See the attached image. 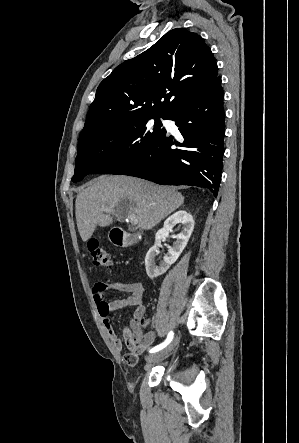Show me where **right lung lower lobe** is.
<instances>
[{"instance_id": "98d812e1", "label": "right lung lower lobe", "mask_w": 299, "mask_h": 443, "mask_svg": "<svg viewBox=\"0 0 299 443\" xmlns=\"http://www.w3.org/2000/svg\"><path fill=\"white\" fill-rule=\"evenodd\" d=\"M223 97L218 76L203 91L164 116V119L175 121L182 138L167 136L165 131L141 158L113 174L163 185L205 187L216 197L224 152Z\"/></svg>"}]
</instances>
